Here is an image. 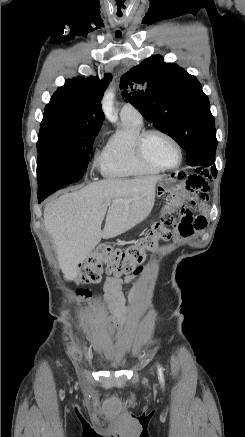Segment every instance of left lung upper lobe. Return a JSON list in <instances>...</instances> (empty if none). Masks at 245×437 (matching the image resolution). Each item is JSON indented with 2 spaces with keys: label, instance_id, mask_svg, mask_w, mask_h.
<instances>
[{
  "label": "left lung upper lobe",
  "instance_id": "left-lung-upper-lobe-1",
  "mask_svg": "<svg viewBox=\"0 0 245 437\" xmlns=\"http://www.w3.org/2000/svg\"><path fill=\"white\" fill-rule=\"evenodd\" d=\"M120 88L126 102L186 151L188 164L207 167L214 163V117L195 76L154 55L124 74ZM215 172L213 167L212 173Z\"/></svg>",
  "mask_w": 245,
  "mask_h": 437
}]
</instances>
